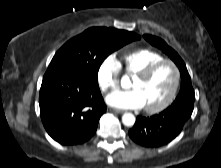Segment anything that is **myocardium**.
I'll use <instances>...</instances> for the list:
<instances>
[{"mask_svg": "<svg viewBox=\"0 0 221 168\" xmlns=\"http://www.w3.org/2000/svg\"><path fill=\"white\" fill-rule=\"evenodd\" d=\"M163 64H169L174 69V73H175L174 84L172 86V89H171L169 95L167 96V98L162 103H160L156 106H153V107H144L145 111L148 112V113L161 112L172 104V102L174 101V99L177 95V92L179 90L180 83H181L180 68L177 65V63L173 60H171V59H162V60H159V61L154 62L151 65L147 66L145 69H143L142 71L137 73L134 77V78H137L139 80H146L155 72L156 69H158Z\"/></svg>", "mask_w": 221, "mask_h": 168, "instance_id": "f54148a6", "label": "myocardium"}]
</instances>
